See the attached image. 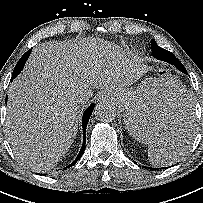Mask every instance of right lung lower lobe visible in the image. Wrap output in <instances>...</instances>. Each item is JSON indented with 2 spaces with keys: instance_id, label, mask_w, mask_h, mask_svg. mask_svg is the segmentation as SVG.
Returning a JSON list of instances; mask_svg holds the SVG:
<instances>
[{
  "instance_id": "obj_1",
  "label": "right lung lower lobe",
  "mask_w": 203,
  "mask_h": 203,
  "mask_svg": "<svg viewBox=\"0 0 203 203\" xmlns=\"http://www.w3.org/2000/svg\"><path fill=\"white\" fill-rule=\"evenodd\" d=\"M30 56V50L27 51L21 58L20 60L18 61L16 67L19 68V70H22L26 61L28 60V57ZM93 109H94V104H91L87 109L86 111L84 112L83 114V118H82V125H83V144H82V147H81V150L79 152V155L77 156V158L69 165L67 166L66 168H69L73 165H75V163L81 158V155L83 154V152L85 151V143H86V138H85V132H86V126H87V123L90 119V116L93 112ZM65 168V169H66ZM45 175V174H44Z\"/></svg>"
}]
</instances>
